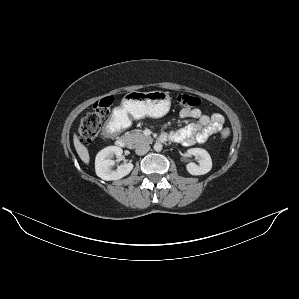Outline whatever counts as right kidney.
Returning a JSON list of instances; mask_svg holds the SVG:
<instances>
[{
    "mask_svg": "<svg viewBox=\"0 0 299 299\" xmlns=\"http://www.w3.org/2000/svg\"><path fill=\"white\" fill-rule=\"evenodd\" d=\"M123 153V150L117 146H108L102 149L95 159V170L97 176L105 181L119 180L126 175H128L134 165L132 163H125L118 166L116 170H112V166L115 164V161L112 160L114 156L120 157Z\"/></svg>",
    "mask_w": 299,
    "mask_h": 299,
    "instance_id": "right-kidney-1",
    "label": "right kidney"
}]
</instances>
